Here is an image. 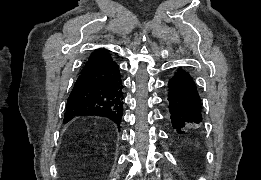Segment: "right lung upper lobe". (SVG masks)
<instances>
[{"label": "right lung upper lobe", "mask_w": 261, "mask_h": 180, "mask_svg": "<svg viewBox=\"0 0 261 180\" xmlns=\"http://www.w3.org/2000/svg\"><path fill=\"white\" fill-rule=\"evenodd\" d=\"M110 61H112V58L110 57L108 50H106L104 48L96 49L91 53V55L89 56V58L85 62L82 70L93 67L95 65L107 63V62H110Z\"/></svg>", "instance_id": "right-lung-upper-lobe-1"}]
</instances>
